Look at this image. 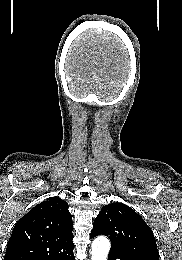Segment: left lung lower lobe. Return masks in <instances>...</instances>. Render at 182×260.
Returning <instances> with one entry per match:
<instances>
[{
    "mask_svg": "<svg viewBox=\"0 0 182 260\" xmlns=\"http://www.w3.org/2000/svg\"><path fill=\"white\" fill-rule=\"evenodd\" d=\"M91 238H93V237H91ZM116 259H119V260H148L147 258H144V257H137V256L129 255V254L110 251L108 260H116Z\"/></svg>",
    "mask_w": 182,
    "mask_h": 260,
    "instance_id": "obj_1",
    "label": "left lung lower lobe"
}]
</instances>
